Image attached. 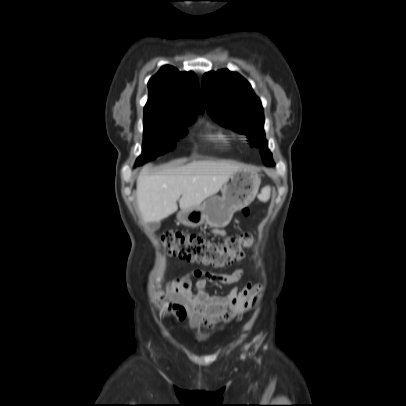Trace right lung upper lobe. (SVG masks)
Masks as SVG:
<instances>
[{"instance_id": "obj_1", "label": "right lung upper lobe", "mask_w": 406, "mask_h": 406, "mask_svg": "<svg viewBox=\"0 0 406 406\" xmlns=\"http://www.w3.org/2000/svg\"><path fill=\"white\" fill-rule=\"evenodd\" d=\"M144 121L187 122L203 110L199 83L193 72L163 66L148 82Z\"/></svg>"}]
</instances>
